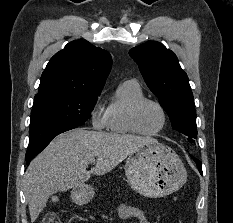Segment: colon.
<instances>
[{
  "mask_svg": "<svg viewBox=\"0 0 233 223\" xmlns=\"http://www.w3.org/2000/svg\"><path fill=\"white\" fill-rule=\"evenodd\" d=\"M43 223H60V219L58 218L57 214L54 212H49L44 220Z\"/></svg>",
  "mask_w": 233,
  "mask_h": 223,
  "instance_id": "1",
  "label": "colon"
}]
</instances>
